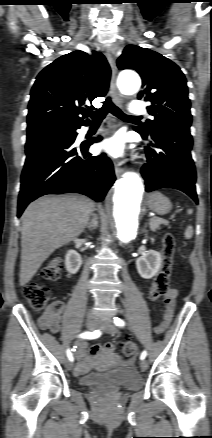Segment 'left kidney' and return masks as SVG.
<instances>
[{
	"label": "left kidney",
	"mask_w": 212,
	"mask_h": 438,
	"mask_svg": "<svg viewBox=\"0 0 212 438\" xmlns=\"http://www.w3.org/2000/svg\"><path fill=\"white\" fill-rule=\"evenodd\" d=\"M161 263L160 253L155 250H148L136 260V267L142 278L151 279L159 271Z\"/></svg>",
	"instance_id": "obj_1"
}]
</instances>
